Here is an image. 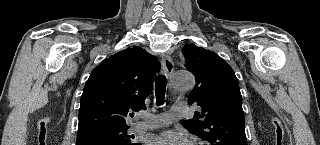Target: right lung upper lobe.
<instances>
[{
	"instance_id": "obj_1",
	"label": "right lung upper lobe",
	"mask_w": 320,
	"mask_h": 145,
	"mask_svg": "<svg viewBox=\"0 0 320 145\" xmlns=\"http://www.w3.org/2000/svg\"><path fill=\"white\" fill-rule=\"evenodd\" d=\"M159 70L157 58L138 46L103 60L83 90L78 137L98 129L128 127V111L145 107L144 100Z\"/></svg>"
}]
</instances>
